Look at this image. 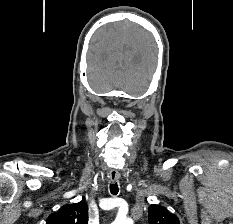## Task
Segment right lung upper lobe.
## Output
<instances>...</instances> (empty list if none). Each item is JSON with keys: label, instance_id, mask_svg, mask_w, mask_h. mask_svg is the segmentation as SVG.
<instances>
[{"label": "right lung upper lobe", "instance_id": "right-lung-upper-lobe-1", "mask_svg": "<svg viewBox=\"0 0 233 224\" xmlns=\"http://www.w3.org/2000/svg\"><path fill=\"white\" fill-rule=\"evenodd\" d=\"M46 224H88V206L82 201L64 205L49 215Z\"/></svg>", "mask_w": 233, "mask_h": 224}]
</instances>
